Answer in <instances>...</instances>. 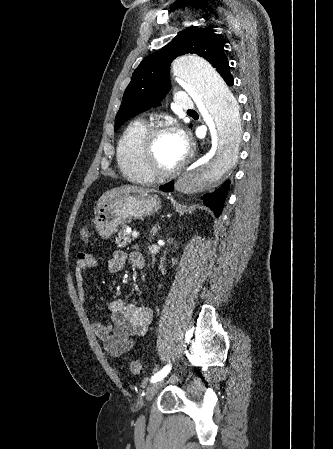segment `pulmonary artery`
<instances>
[{"label": "pulmonary artery", "mask_w": 333, "mask_h": 449, "mask_svg": "<svg viewBox=\"0 0 333 449\" xmlns=\"http://www.w3.org/2000/svg\"><path fill=\"white\" fill-rule=\"evenodd\" d=\"M176 103L180 108L185 110L194 108V102L187 92H179L176 96Z\"/></svg>", "instance_id": "1"}]
</instances>
